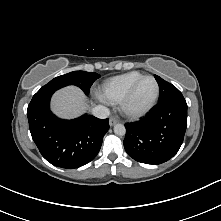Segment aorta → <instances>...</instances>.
I'll return each instance as SVG.
<instances>
[{
  "instance_id": "762f6f07",
  "label": "aorta",
  "mask_w": 221,
  "mask_h": 221,
  "mask_svg": "<svg viewBox=\"0 0 221 221\" xmlns=\"http://www.w3.org/2000/svg\"><path fill=\"white\" fill-rule=\"evenodd\" d=\"M114 133H115L116 135H119V136L125 135V134H126V128H125V126H124L123 124H120V123L116 124V125L114 126Z\"/></svg>"
}]
</instances>
